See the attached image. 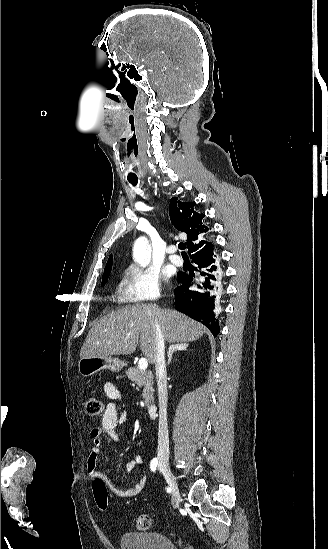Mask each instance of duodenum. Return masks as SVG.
<instances>
[{
    "label": "duodenum",
    "instance_id": "410a0bca",
    "mask_svg": "<svg viewBox=\"0 0 328 549\" xmlns=\"http://www.w3.org/2000/svg\"><path fill=\"white\" fill-rule=\"evenodd\" d=\"M147 411H148V414L150 415V417H156L157 416V411H158L157 405L154 404V403L149 404L147 406Z\"/></svg>",
    "mask_w": 328,
    "mask_h": 549
}]
</instances>
